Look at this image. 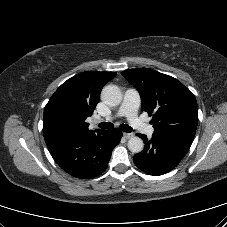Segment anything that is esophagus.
Segmentation results:
<instances>
[{
    "label": "esophagus",
    "mask_w": 227,
    "mask_h": 227,
    "mask_svg": "<svg viewBox=\"0 0 227 227\" xmlns=\"http://www.w3.org/2000/svg\"><path fill=\"white\" fill-rule=\"evenodd\" d=\"M123 136L126 138V139H130V138H132L133 136H134V134L133 133H123Z\"/></svg>",
    "instance_id": "esophagus-1"
}]
</instances>
